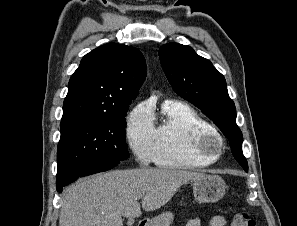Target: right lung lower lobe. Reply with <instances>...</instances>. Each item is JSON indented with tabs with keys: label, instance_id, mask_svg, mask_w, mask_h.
I'll list each match as a JSON object with an SVG mask.
<instances>
[{
	"label": "right lung lower lobe",
	"instance_id": "obj_1",
	"mask_svg": "<svg viewBox=\"0 0 297 226\" xmlns=\"http://www.w3.org/2000/svg\"><path fill=\"white\" fill-rule=\"evenodd\" d=\"M118 163L119 162L112 161L92 162L83 165L72 166L65 170L59 171L56 178L57 191L61 193L64 186L72 183L78 177L107 171Z\"/></svg>",
	"mask_w": 297,
	"mask_h": 226
}]
</instances>
